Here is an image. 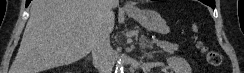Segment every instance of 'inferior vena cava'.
<instances>
[{
	"label": "inferior vena cava",
	"mask_w": 244,
	"mask_h": 73,
	"mask_svg": "<svg viewBox=\"0 0 244 73\" xmlns=\"http://www.w3.org/2000/svg\"><path fill=\"white\" fill-rule=\"evenodd\" d=\"M108 6L111 8L112 0H108ZM93 63L99 73H111L114 65L113 50L110 45V35L106 29H103L95 38L92 46Z\"/></svg>",
	"instance_id": "inferior-vena-cava-1"
}]
</instances>
